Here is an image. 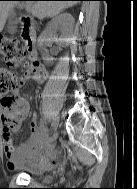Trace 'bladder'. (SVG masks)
I'll return each instance as SVG.
<instances>
[{"label":"bladder","mask_w":137,"mask_h":189,"mask_svg":"<svg viewBox=\"0 0 137 189\" xmlns=\"http://www.w3.org/2000/svg\"><path fill=\"white\" fill-rule=\"evenodd\" d=\"M31 176H43L45 174V171L39 168L32 169L28 172ZM44 179L48 182H52V178L50 176H44Z\"/></svg>","instance_id":"bladder-1"}]
</instances>
